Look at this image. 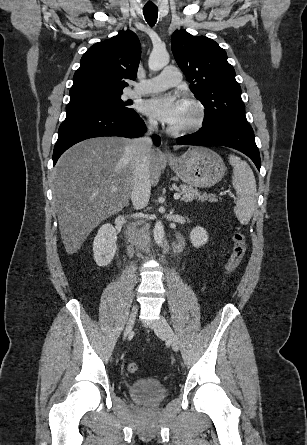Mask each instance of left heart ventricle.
I'll return each mask as SVG.
<instances>
[{
  "label": "left heart ventricle",
  "mask_w": 307,
  "mask_h": 445,
  "mask_svg": "<svg viewBox=\"0 0 307 445\" xmlns=\"http://www.w3.org/2000/svg\"><path fill=\"white\" fill-rule=\"evenodd\" d=\"M194 117H195V112H194L193 108L187 104L186 110H185L183 116L181 117V119L178 120L176 123H174L172 126L173 127L183 126V125L187 124L188 122H190Z\"/></svg>",
  "instance_id": "1"
}]
</instances>
